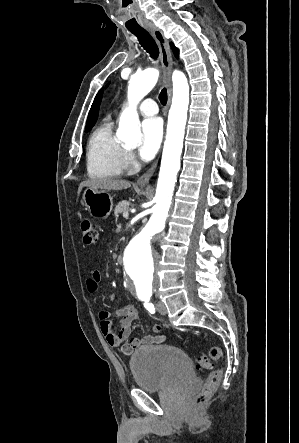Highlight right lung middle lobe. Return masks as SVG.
<instances>
[{
  "mask_svg": "<svg viewBox=\"0 0 299 443\" xmlns=\"http://www.w3.org/2000/svg\"><path fill=\"white\" fill-rule=\"evenodd\" d=\"M92 127H93V125H88V126H86V128H85V132H88Z\"/></svg>",
  "mask_w": 299,
  "mask_h": 443,
  "instance_id": "dd1d6c3e",
  "label": "right lung middle lobe"
}]
</instances>
